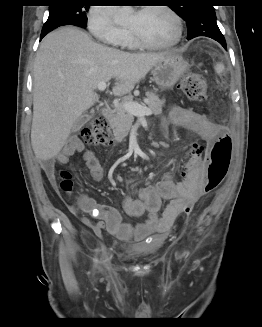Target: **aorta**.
I'll use <instances>...</instances> for the list:
<instances>
[{
    "label": "aorta",
    "mask_w": 262,
    "mask_h": 327,
    "mask_svg": "<svg viewBox=\"0 0 262 327\" xmlns=\"http://www.w3.org/2000/svg\"><path fill=\"white\" fill-rule=\"evenodd\" d=\"M122 15L121 14H116L114 15V18L117 19V18H120Z\"/></svg>",
    "instance_id": "aorta-1"
}]
</instances>
